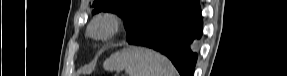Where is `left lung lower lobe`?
Here are the masks:
<instances>
[{
  "label": "left lung lower lobe",
  "mask_w": 287,
  "mask_h": 76,
  "mask_svg": "<svg viewBox=\"0 0 287 76\" xmlns=\"http://www.w3.org/2000/svg\"><path fill=\"white\" fill-rule=\"evenodd\" d=\"M202 36L198 0H185L156 21L129 44L149 47L166 55L181 76H192L197 61L196 42Z\"/></svg>",
  "instance_id": "left-lung-lower-lobe-1"
}]
</instances>
